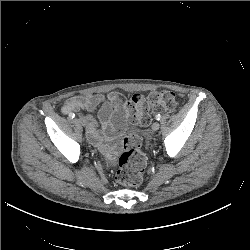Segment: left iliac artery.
<instances>
[{"label": "left iliac artery", "instance_id": "left-iliac-artery-1", "mask_svg": "<svg viewBox=\"0 0 250 250\" xmlns=\"http://www.w3.org/2000/svg\"><path fill=\"white\" fill-rule=\"evenodd\" d=\"M155 119L159 121L161 119V115L160 114L156 115Z\"/></svg>", "mask_w": 250, "mask_h": 250}]
</instances>
